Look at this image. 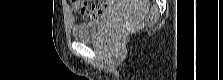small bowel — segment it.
Wrapping results in <instances>:
<instances>
[{
    "label": "small bowel",
    "instance_id": "small-bowel-1",
    "mask_svg": "<svg viewBox=\"0 0 223 80\" xmlns=\"http://www.w3.org/2000/svg\"><path fill=\"white\" fill-rule=\"evenodd\" d=\"M113 4L110 3V1H102L97 4H95V9L91 13H88L86 15H82L77 6L74 4V9L79 12L85 19L89 21H94L96 20L99 16L103 15L106 13L112 6Z\"/></svg>",
    "mask_w": 223,
    "mask_h": 80
}]
</instances>
